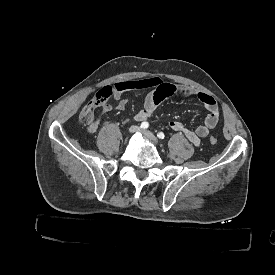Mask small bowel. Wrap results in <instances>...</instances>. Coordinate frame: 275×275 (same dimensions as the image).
Returning a JSON list of instances; mask_svg holds the SVG:
<instances>
[{"instance_id": "1", "label": "small bowel", "mask_w": 275, "mask_h": 275, "mask_svg": "<svg viewBox=\"0 0 275 275\" xmlns=\"http://www.w3.org/2000/svg\"><path fill=\"white\" fill-rule=\"evenodd\" d=\"M121 84H123L124 87L117 91L115 95V99L117 100L116 109L120 111L124 110L128 104V98L122 96L123 92L149 90L144 98L143 107L135 114V120L138 122L148 120L153 115L158 105L171 95H177L182 98H197L205 106L208 112L202 124L198 125L195 129H190L179 120H171L168 123L169 129L184 134V136L195 146H198L201 139L205 138L219 123V106L216 100L208 93L197 91L185 85L166 83L161 78L155 76L125 81Z\"/></svg>"}]
</instances>
